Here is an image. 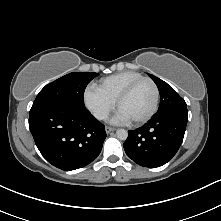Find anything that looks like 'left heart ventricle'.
<instances>
[{"label": "left heart ventricle", "mask_w": 221, "mask_h": 221, "mask_svg": "<svg viewBox=\"0 0 221 221\" xmlns=\"http://www.w3.org/2000/svg\"><path fill=\"white\" fill-rule=\"evenodd\" d=\"M154 97V88L151 83L142 82L121 103L119 110L127 116L129 121L137 120L151 110Z\"/></svg>", "instance_id": "b2bd125f"}]
</instances>
